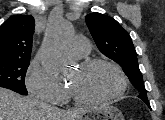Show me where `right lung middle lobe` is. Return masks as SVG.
Masks as SVG:
<instances>
[{
	"mask_svg": "<svg viewBox=\"0 0 165 120\" xmlns=\"http://www.w3.org/2000/svg\"><path fill=\"white\" fill-rule=\"evenodd\" d=\"M30 59L0 58V87L27 95L25 74Z\"/></svg>",
	"mask_w": 165,
	"mask_h": 120,
	"instance_id": "dd1d6c3e",
	"label": "right lung middle lobe"
}]
</instances>
